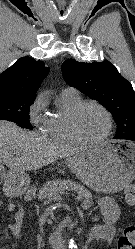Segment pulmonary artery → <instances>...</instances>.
Here are the masks:
<instances>
[{
    "instance_id": "e3ab8cb5",
    "label": "pulmonary artery",
    "mask_w": 135,
    "mask_h": 249,
    "mask_svg": "<svg viewBox=\"0 0 135 249\" xmlns=\"http://www.w3.org/2000/svg\"><path fill=\"white\" fill-rule=\"evenodd\" d=\"M62 93L78 94V91L74 88H66L62 91Z\"/></svg>"
}]
</instances>
